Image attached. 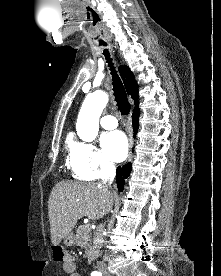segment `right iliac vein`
Returning <instances> with one entry per match:
<instances>
[{
  "label": "right iliac vein",
  "mask_w": 221,
  "mask_h": 276,
  "mask_svg": "<svg viewBox=\"0 0 221 276\" xmlns=\"http://www.w3.org/2000/svg\"><path fill=\"white\" fill-rule=\"evenodd\" d=\"M102 270H103V271H105L106 269H105V268H103ZM105 276H106V275H105Z\"/></svg>",
  "instance_id": "1"
}]
</instances>
